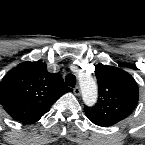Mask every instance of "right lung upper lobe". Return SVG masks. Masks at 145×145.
Returning <instances> with one entry per match:
<instances>
[{"instance_id":"obj_1","label":"right lung upper lobe","mask_w":145,"mask_h":145,"mask_svg":"<svg viewBox=\"0 0 145 145\" xmlns=\"http://www.w3.org/2000/svg\"><path fill=\"white\" fill-rule=\"evenodd\" d=\"M72 91L61 74L50 73L42 62H23L0 83V102L5 111L23 123L38 121L63 94Z\"/></svg>"}]
</instances>
